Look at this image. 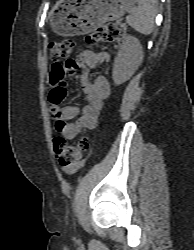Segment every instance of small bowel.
Instances as JSON below:
<instances>
[{
    "label": "small bowel",
    "mask_w": 194,
    "mask_h": 250,
    "mask_svg": "<svg viewBox=\"0 0 194 250\" xmlns=\"http://www.w3.org/2000/svg\"><path fill=\"white\" fill-rule=\"evenodd\" d=\"M109 55L106 51L84 50L76 61L66 64H54L51 73L55 75L72 74L81 71L80 83L85 96V105L79 109L74 105L60 106L52 101V113L55 119L54 130L65 139H74L83 129H93L97 125L99 113L103 107L104 100L110 95V83L104 76H97L93 81L88 79L89 72L96 66L107 62ZM65 87L64 82L58 84ZM69 91L66 89V96ZM75 119V120H74ZM85 160H80L63 169L66 173L72 174L81 168Z\"/></svg>",
    "instance_id": "small-bowel-1"
}]
</instances>
